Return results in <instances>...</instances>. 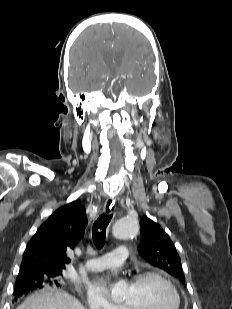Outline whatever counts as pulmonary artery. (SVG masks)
<instances>
[{
    "label": "pulmonary artery",
    "mask_w": 232,
    "mask_h": 309,
    "mask_svg": "<svg viewBox=\"0 0 232 309\" xmlns=\"http://www.w3.org/2000/svg\"><path fill=\"white\" fill-rule=\"evenodd\" d=\"M128 249L124 246L117 247L113 252L98 258H90L85 261V267L89 271H102L120 265L128 258Z\"/></svg>",
    "instance_id": "e3ab8cb5"
}]
</instances>
